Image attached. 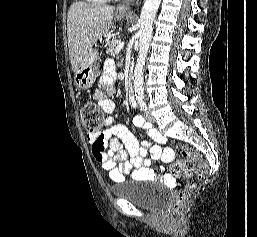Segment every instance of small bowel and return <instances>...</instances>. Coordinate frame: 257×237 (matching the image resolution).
<instances>
[{
    "mask_svg": "<svg viewBox=\"0 0 257 237\" xmlns=\"http://www.w3.org/2000/svg\"><path fill=\"white\" fill-rule=\"evenodd\" d=\"M115 77L113 64L108 61L104 65L103 73L99 79L98 89L92 98L98 102L101 110L106 114L115 111V102L109 97L114 89ZM134 124L142 127L146 133L158 144H165L167 139L157 130L145 123L144 119L136 116ZM107 127L99 133H88L87 140L92 146L95 159L102 165L109 177L115 182H121L124 176L131 172L134 180H159L168 184H175L179 180L165 174L162 167L152 169L151 160H173V152L169 148H161L149 142L139 143L127 127L114 124L112 117L104 120ZM147 153L150 158H146Z\"/></svg>",
    "mask_w": 257,
    "mask_h": 237,
    "instance_id": "obj_1",
    "label": "small bowel"
}]
</instances>
